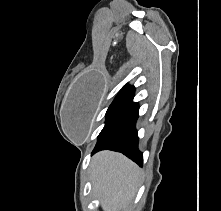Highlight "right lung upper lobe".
Wrapping results in <instances>:
<instances>
[{"mask_svg": "<svg viewBox=\"0 0 221 211\" xmlns=\"http://www.w3.org/2000/svg\"><path fill=\"white\" fill-rule=\"evenodd\" d=\"M135 88L133 86H124V89L122 91H134Z\"/></svg>", "mask_w": 221, "mask_h": 211, "instance_id": "1", "label": "right lung upper lobe"}]
</instances>
